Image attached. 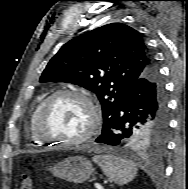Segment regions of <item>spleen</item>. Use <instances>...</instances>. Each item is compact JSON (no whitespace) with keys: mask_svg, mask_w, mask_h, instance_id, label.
<instances>
[{"mask_svg":"<svg viewBox=\"0 0 188 189\" xmlns=\"http://www.w3.org/2000/svg\"><path fill=\"white\" fill-rule=\"evenodd\" d=\"M93 161L104 174L118 185L131 182L137 174V168L131 162L113 155H95Z\"/></svg>","mask_w":188,"mask_h":189,"instance_id":"spleen-1","label":"spleen"}]
</instances>
